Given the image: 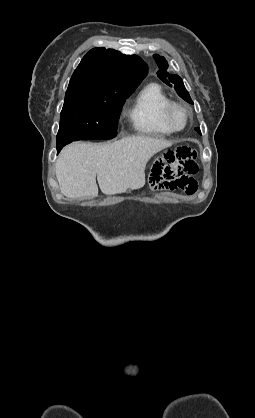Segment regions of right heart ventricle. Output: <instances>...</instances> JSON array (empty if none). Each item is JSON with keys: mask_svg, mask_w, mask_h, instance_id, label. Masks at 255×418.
Segmentation results:
<instances>
[{"mask_svg": "<svg viewBox=\"0 0 255 418\" xmlns=\"http://www.w3.org/2000/svg\"><path fill=\"white\" fill-rule=\"evenodd\" d=\"M170 101L160 84L151 82L143 86L128 110L134 131L149 136L172 134L173 131L163 120L164 109Z\"/></svg>", "mask_w": 255, "mask_h": 418, "instance_id": "obj_1", "label": "right heart ventricle"}]
</instances>
